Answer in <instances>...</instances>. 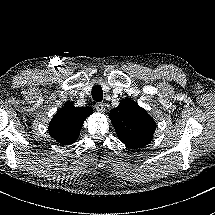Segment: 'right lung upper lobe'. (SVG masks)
Returning <instances> with one entry per match:
<instances>
[{"label": "right lung upper lobe", "instance_id": "cb5924a9", "mask_svg": "<svg viewBox=\"0 0 215 215\" xmlns=\"http://www.w3.org/2000/svg\"><path fill=\"white\" fill-rule=\"evenodd\" d=\"M93 113L89 106L75 107L66 103L52 118L48 131L61 145H70L76 141L85 119Z\"/></svg>", "mask_w": 215, "mask_h": 215}]
</instances>
